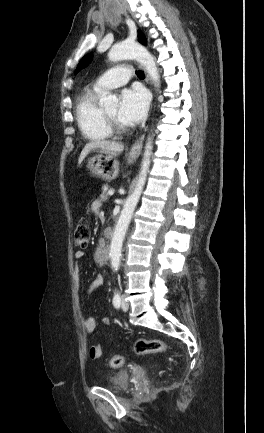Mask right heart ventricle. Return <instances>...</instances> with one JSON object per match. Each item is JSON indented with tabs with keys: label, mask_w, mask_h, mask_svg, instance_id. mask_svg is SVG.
<instances>
[{
	"label": "right heart ventricle",
	"mask_w": 264,
	"mask_h": 433,
	"mask_svg": "<svg viewBox=\"0 0 264 433\" xmlns=\"http://www.w3.org/2000/svg\"><path fill=\"white\" fill-rule=\"evenodd\" d=\"M100 94L101 91L95 88L85 90L77 98L75 107L78 128L82 135L91 141L104 140L112 135L103 109L98 104Z\"/></svg>",
	"instance_id": "obj_1"
}]
</instances>
